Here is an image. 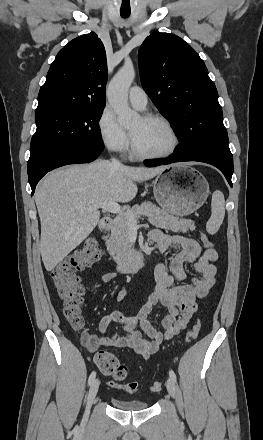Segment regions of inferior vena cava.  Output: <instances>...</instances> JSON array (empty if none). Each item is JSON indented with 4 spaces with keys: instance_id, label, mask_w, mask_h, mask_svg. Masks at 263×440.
Instances as JSON below:
<instances>
[{
    "instance_id": "1",
    "label": "inferior vena cava",
    "mask_w": 263,
    "mask_h": 440,
    "mask_svg": "<svg viewBox=\"0 0 263 440\" xmlns=\"http://www.w3.org/2000/svg\"><path fill=\"white\" fill-rule=\"evenodd\" d=\"M111 161H112V164L114 166H120L121 165V163L118 160L114 159V158H112Z\"/></svg>"
}]
</instances>
